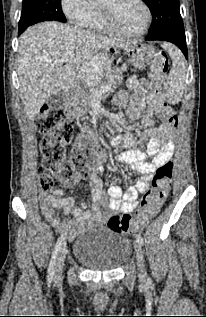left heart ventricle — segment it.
<instances>
[{
	"instance_id": "obj_1",
	"label": "left heart ventricle",
	"mask_w": 206,
	"mask_h": 317,
	"mask_svg": "<svg viewBox=\"0 0 206 317\" xmlns=\"http://www.w3.org/2000/svg\"><path fill=\"white\" fill-rule=\"evenodd\" d=\"M102 6L109 7L114 24L125 33H135L142 29L145 12L137 0H102Z\"/></svg>"
}]
</instances>
